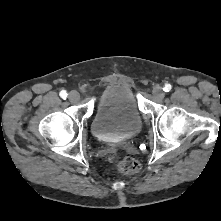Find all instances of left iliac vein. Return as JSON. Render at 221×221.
<instances>
[{"mask_svg":"<svg viewBox=\"0 0 221 221\" xmlns=\"http://www.w3.org/2000/svg\"><path fill=\"white\" fill-rule=\"evenodd\" d=\"M152 93L158 99H162L165 95V93L163 92V89L160 86H155L153 88Z\"/></svg>","mask_w":221,"mask_h":221,"instance_id":"left-iliac-vein-1","label":"left iliac vein"}]
</instances>
